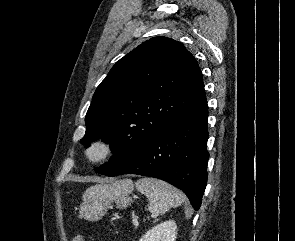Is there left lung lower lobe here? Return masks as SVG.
Segmentation results:
<instances>
[{
    "mask_svg": "<svg viewBox=\"0 0 295 241\" xmlns=\"http://www.w3.org/2000/svg\"><path fill=\"white\" fill-rule=\"evenodd\" d=\"M207 100L154 135L133 157L107 176L137 174L181 189L195 210L207 184Z\"/></svg>",
    "mask_w": 295,
    "mask_h": 241,
    "instance_id": "0a47b994",
    "label": "left lung lower lobe"
}]
</instances>
